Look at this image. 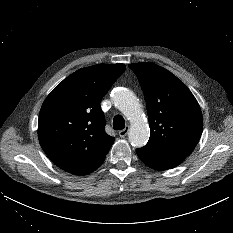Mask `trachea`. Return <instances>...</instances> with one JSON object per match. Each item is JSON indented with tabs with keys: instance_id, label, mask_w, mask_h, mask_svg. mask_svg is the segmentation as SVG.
<instances>
[{
	"instance_id": "obj_1",
	"label": "trachea",
	"mask_w": 233,
	"mask_h": 233,
	"mask_svg": "<svg viewBox=\"0 0 233 233\" xmlns=\"http://www.w3.org/2000/svg\"><path fill=\"white\" fill-rule=\"evenodd\" d=\"M114 130H123L125 128V120L121 115H116L113 119Z\"/></svg>"
}]
</instances>
